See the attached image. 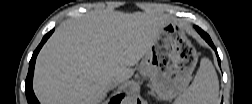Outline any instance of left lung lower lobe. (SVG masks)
<instances>
[{
    "label": "left lung lower lobe",
    "instance_id": "0a47b994",
    "mask_svg": "<svg viewBox=\"0 0 252 104\" xmlns=\"http://www.w3.org/2000/svg\"><path fill=\"white\" fill-rule=\"evenodd\" d=\"M195 29L206 40V42H208L209 45L215 50L217 58H218V63L220 65V58L218 56L217 50H216V48H215V46H214V44H213L210 36L207 33H205L202 29H200L199 27H197V26H195ZM138 103H140V101H138Z\"/></svg>",
    "mask_w": 252,
    "mask_h": 104
}]
</instances>
